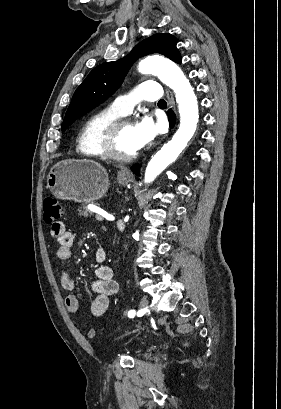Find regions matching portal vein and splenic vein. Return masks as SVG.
Masks as SVG:
<instances>
[{
    "label": "portal vein and splenic vein",
    "instance_id": "18ae733b",
    "mask_svg": "<svg viewBox=\"0 0 281 409\" xmlns=\"http://www.w3.org/2000/svg\"><path fill=\"white\" fill-rule=\"evenodd\" d=\"M93 201V200H92ZM94 202V201H93ZM96 217H98L99 221H104L105 220V215H95Z\"/></svg>",
    "mask_w": 281,
    "mask_h": 409
}]
</instances>
